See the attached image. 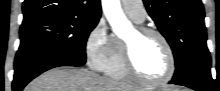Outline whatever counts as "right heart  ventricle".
Returning <instances> with one entry per match:
<instances>
[{
    "instance_id": "e07e8e85",
    "label": "right heart ventricle",
    "mask_w": 220,
    "mask_h": 91,
    "mask_svg": "<svg viewBox=\"0 0 220 91\" xmlns=\"http://www.w3.org/2000/svg\"><path fill=\"white\" fill-rule=\"evenodd\" d=\"M104 72L107 76L114 79L126 80L129 78L124 65L123 42L118 38H115V52L113 58Z\"/></svg>"
}]
</instances>
